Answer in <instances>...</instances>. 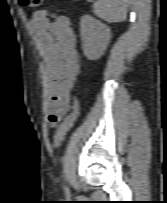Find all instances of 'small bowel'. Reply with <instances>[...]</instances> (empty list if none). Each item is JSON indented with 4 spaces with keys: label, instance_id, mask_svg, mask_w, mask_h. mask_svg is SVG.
Masks as SVG:
<instances>
[{
    "label": "small bowel",
    "instance_id": "small-bowel-1",
    "mask_svg": "<svg viewBox=\"0 0 167 203\" xmlns=\"http://www.w3.org/2000/svg\"><path fill=\"white\" fill-rule=\"evenodd\" d=\"M32 27L46 70L47 122L55 127L70 109L71 91L81 73L75 34L68 17L51 20L45 12L34 13Z\"/></svg>",
    "mask_w": 167,
    "mask_h": 203
}]
</instances>
